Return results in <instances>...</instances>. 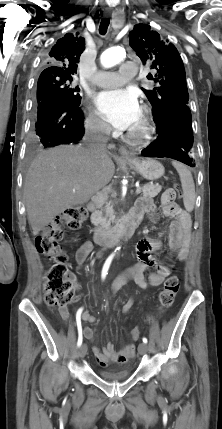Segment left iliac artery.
<instances>
[{"instance_id": "44dca946", "label": "left iliac artery", "mask_w": 222, "mask_h": 429, "mask_svg": "<svg viewBox=\"0 0 222 429\" xmlns=\"http://www.w3.org/2000/svg\"><path fill=\"white\" fill-rule=\"evenodd\" d=\"M142 340H143V342H144V343H147V342H148L147 338H145V337H143V339H142Z\"/></svg>"}]
</instances>
